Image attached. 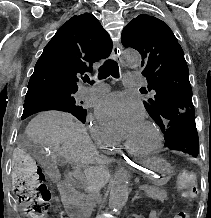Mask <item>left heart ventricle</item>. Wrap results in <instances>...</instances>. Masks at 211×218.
I'll return each instance as SVG.
<instances>
[{"label":"left heart ventricle","mask_w":211,"mask_h":218,"mask_svg":"<svg viewBox=\"0 0 211 218\" xmlns=\"http://www.w3.org/2000/svg\"><path fill=\"white\" fill-rule=\"evenodd\" d=\"M154 134L145 123L139 130L131 135L126 141L131 147L138 149H148L154 143Z\"/></svg>","instance_id":"left-heart-ventricle-1"}]
</instances>
